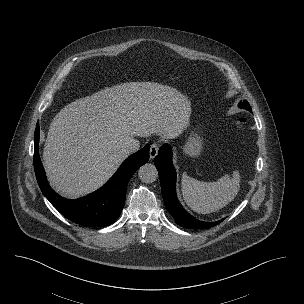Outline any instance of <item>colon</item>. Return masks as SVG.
<instances>
[{
    "instance_id": "colon-1",
    "label": "colon",
    "mask_w": 304,
    "mask_h": 304,
    "mask_svg": "<svg viewBox=\"0 0 304 304\" xmlns=\"http://www.w3.org/2000/svg\"><path fill=\"white\" fill-rule=\"evenodd\" d=\"M236 126H237L238 129H242L243 126H244V121H243V119L237 120Z\"/></svg>"
}]
</instances>
